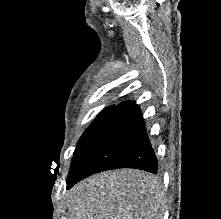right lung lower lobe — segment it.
I'll list each match as a JSON object with an SVG mask.
<instances>
[{
    "mask_svg": "<svg viewBox=\"0 0 221 219\" xmlns=\"http://www.w3.org/2000/svg\"><path fill=\"white\" fill-rule=\"evenodd\" d=\"M74 154L67 189L105 170L136 168L154 174L158 171L142 113L131 101L115 106Z\"/></svg>",
    "mask_w": 221,
    "mask_h": 219,
    "instance_id": "1",
    "label": "right lung lower lobe"
}]
</instances>
